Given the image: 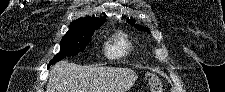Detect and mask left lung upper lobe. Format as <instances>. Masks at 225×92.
Segmentation results:
<instances>
[{"mask_svg":"<svg viewBox=\"0 0 225 92\" xmlns=\"http://www.w3.org/2000/svg\"><path fill=\"white\" fill-rule=\"evenodd\" d=\"M130 24H132V25H135V21L134 20H129L128 21ZM136 27L139 29V30H142V31H146L147 30V32H149V30L148 29H146L145 27H141V26H137L136 25Z\"/></svg>","mask_w":225,"mask_h":92,"instance_id":"left-lung-upper-lobe-1","label":"left lung upper lobe"}]
</instances>
